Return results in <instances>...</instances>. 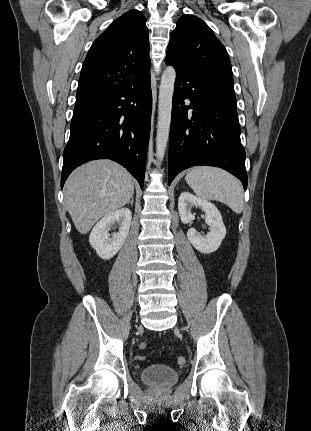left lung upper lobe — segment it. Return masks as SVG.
<instances>
[{
	"mask_svg": "<svg viewBox=\"0 0 311 431\" xmlns=\"http://www.w3.org/2000/svg\"><path fill=\"white\" fill-rule=\"evenodd\" d=\"M166 61L202 78L233 84L228 53L200 18L185 14L171 34Z\"/></svg>",
	"mask_w": 311,
	"mask_h": 431,
	"instance_id": "obj_1",
	"label": "left lung upper lobe"
}]
</instances>
